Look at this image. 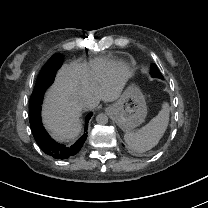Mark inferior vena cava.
I'll use <instances>...</instances> for the list:
<instances>
[{
    "label": "inferior vena cava",
    "mask_w": 208,
    "mask_h": 208,
    "mask_svg": "<svg viewBox=\"0 0 208 208\" xmlns=\"http://www.w3.org/2000/svg\"><path fill=\"white\" fill-rule=\"evenodd\" d=\"M80 102L83 107L87 105V101L83 98L80 99Z\"/></svg>",
    "instance_id": "1"
}]
</instances>
